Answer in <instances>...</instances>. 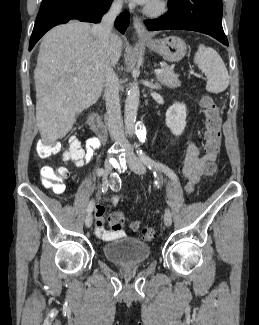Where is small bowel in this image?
Returning a JSON list of instances; mask_svg holds the SVG:
<instances>
[{"instance_id": "1", "label": "small bowel", "mask_w": 259, "mask_h": 325, "mask_svg": "<svg viewBox=\"0 0 259 325\" xmlns=\"http://www.w3.org/2000/svg\"><path fill=\"white\" fill-rule=\"evenodd\" d=\"M80 143V142H79ZM81 145V144H80ZM101 147V140L97 137L88 138L82 148V155L74 160L76 166H82L84 163L89 162L94 152ZM218 151L216 152H203L202 148L194 143H189L186 148L185 158L182 167V174L187 179L186 191L192 192L194 185L200 180L205 168L208 164H213L216 159ZM49 168L43 167L42 170ZM41 170V171H42ZM118 196L112 197V203L117 204ZM105 213L106 209L102 205L96 207L95 216V233L103 240H110L112 238L124 236L123 231L114 232L105 228Z\"/></svg>"}]
</instances>
